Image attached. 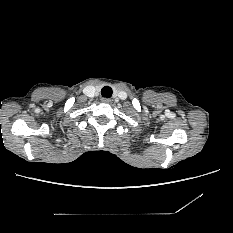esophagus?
Returning <instances> with one entry per match:
<instances>
[{
  "label": "esophagus",
  "mask_w": 233,
  "mask_h": 233,
  "mask_svg": "<svg viewBox=\"0 0 233 233\" xmlns=\"http://www.w3.org/2000/svg\"><path fill=\"white\" fill-rule=\"evenodd\" d=\"M101 101L103 103H109L111 101V99H109V98H102Z\"/></svg>",
  "instance_id": "esophagus-1"
}]
</instances>
